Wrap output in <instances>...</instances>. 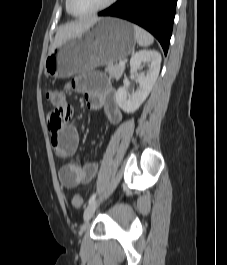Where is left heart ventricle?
I'll list each match as a JSON object with an SVG mask.
<instances>
[{
	"mask_svg": "<svg viewBox=\"0 0 227 265\" xmlns=\"http://www.w3.org/2000/svg\"><path fill=\"white\" fill-rule=\"evenodd\" d=\"M106 1L107 0H72V7L78 13H86L101 6Z\"/></svg>",
	"mask_w": 227,
	"mask_h": 265,
	"instance_id": "b2bd125f",
	"label": "left heart ventricle"
}]
</instances>
